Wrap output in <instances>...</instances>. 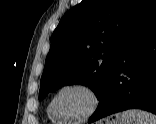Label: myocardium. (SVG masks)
Wrapping results in <instances>:
<instances>
[{
  "label": "myocardium",
  "instance_id": "f54148a6",
  "mask_svg": "<svg viewBox=\"0 0 156 124\" xmlns=\"http://www.w3.org/2000/svg\"><path fill=\"white\" fill-rule=\"evenodd\" d=\"M70 89H80L83 90L85 92H87L89 94V96L91 97V106L89 108V110L81 117L77 118V119H73V120H62L65 123H81L84 121L89 120L99 109L100 105H101V101H102V96L100 91L93 86L92 84L86 83V82H74V83H69L66 84L64 86H62L52 97L50 103H49V109L52 113V115L57 118V116L54 113V105H55V101L58 98V96L63 93L66 90H70Z\"/></svg>",
  "mask_w": 156,
  "mask_h": 124
}]
</instances>
